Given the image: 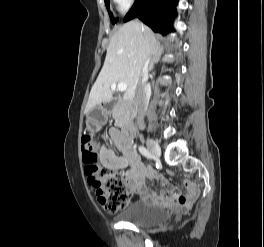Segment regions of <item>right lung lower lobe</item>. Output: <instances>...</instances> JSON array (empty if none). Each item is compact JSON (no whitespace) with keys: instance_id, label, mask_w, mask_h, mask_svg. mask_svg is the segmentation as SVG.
<instances>
[{"instance_id":"98d812e1","label":"right lung lower lobe","mask_w":264,"mask_h":247,"mask_svg":"<svg viewBox=\"0 0 264 247\" xmlns=\"http://www.w3.org/2000/svg\"><path fill=\"white\" fill-rule=\"evenodd\" d=\"M178 0H135L124 18V22L138 17L154 32L163 35L173 32V17Z\"/></svg>"}]
</instances>
